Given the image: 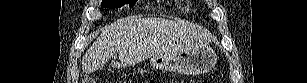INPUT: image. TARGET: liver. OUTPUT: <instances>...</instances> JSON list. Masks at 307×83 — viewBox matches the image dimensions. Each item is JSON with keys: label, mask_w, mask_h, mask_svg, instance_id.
I'll use <instances>...</instances> for the list:
<instances>
[{"label": "liver", "mask_w": 307, "mask_h": 83, "mask_svg": "<svg viewBox=\"0 0 307 83\" xmlns=\"http://www.w3.org/2000/svg\"><path fill=\"white\" fill-rule=\"evenodd\" d=\"M212 34L190 22L128 17L101 30V35L87 50L82 69L90 74L103 67L118 52L113 67L135 64L153 56H173L198 45H208Z\"/></svg>", "instance_id": "6515ba94"}]
</instances>
